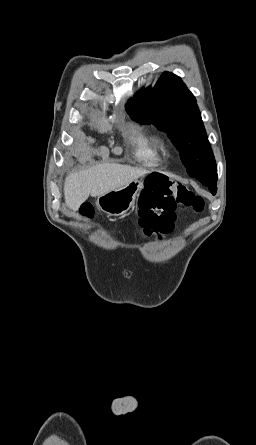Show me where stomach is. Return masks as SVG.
Returning <instances> with one entry per match:
<instances>
[{
	"label": "stomach",
	"instance_id": "obj_1",
	"mask_svg": "<svg viewBox=\"0 0 256 445\" xmlns=\"http://www.w3.org/2000/svg\"><path fill=\"white\" fill-rule=\"evenodd\" d=\"M144 188V179L134 180L116 190L98 196L97 205L109 216H121L130 210L138 193Z\"/></svg>",
	"mask_w": 256,
	"mask_h": 445
}]
</instances>
